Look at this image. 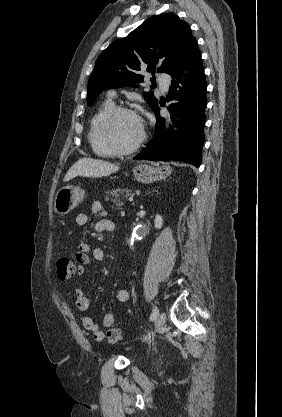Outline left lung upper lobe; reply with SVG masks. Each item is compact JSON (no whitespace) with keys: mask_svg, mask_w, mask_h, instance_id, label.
Instances as JSON below:
<instances>
[{"mask_svg":"<svg viewBox=\"0 0 282 417\" xmlns=\"http://www.w3.org/2000/svg\"><path fill=\"white\" fill-rule=\"evenodd\" d=\"M195 40L189 25L173 13L145 20L127 37L114 41L98 57L88 83L87 103L91 106L105 89L135 86L143 81L137 71L167 73L184 48ZM151 108L158 100L144 92Z\"/></svg>","mask_w":282,"mask_h":417,"instance_id":"left-lung-upper-lobe-1","label":"left lung upper lobe"}]
</instances>
